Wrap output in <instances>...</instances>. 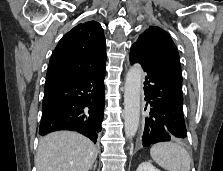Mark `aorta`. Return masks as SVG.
Segmentation results:
<instances>
[{"label": "aorta", "mask_w": 223, "mask_h": 171, "mask_svg": "<svg viewBox=\"0 0 223 171\" xmlns=\"http://www.w3.org/2000/svg\"><path fill=\"white\" fill-rule=\"evenodd\" d=\"M143 69L139 64L133 65L126 76L124 92L125 136L132 139L139 126L140 94Z\"/></svg>", "instance_id": "aorta-1"}]
</instances>
